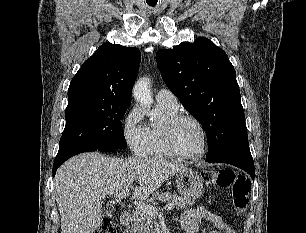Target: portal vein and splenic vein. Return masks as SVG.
<instances>
[{
  "instance_id": "obj_1",
  "label": "portal vein and splenic vein",
  "mask_w": 306,
  "mask_h": 233,
  "mask_svg": "<svg viewBox=\"0 0 306 233\" xmlns=\"http://www.w3.org/2000/svg\"><path fill=\"white\" fill-rule=\"evenodd\" d=\"M129 191H130L129 189H125L123 192H120L117 195V198L119 200H122V199L126 198L129 195ZM133 203L137 206L138 209H141L146 213H149L151 215H157L158 214V209L151 204H148V203H145V202H140V201H134ZM164 208L168 209V210H171V209L174 208V204L168 203V204L165 205Z\"/></svg>"
}]
</instances>
